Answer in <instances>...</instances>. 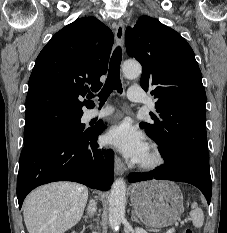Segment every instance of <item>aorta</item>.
<instances>
[{
	"label": "aorta",
	"mask_w": 227,
	"mask_h": 233,
	"mask_svg": "<svg viewBox=\"0 0 227 233\" xmlns=\"http://www.w3.org/2000/svg\"><path fill=\"white\" fill-rule=\"evenodd\" d=\"M123 75L128 79L138 78L142 73L141 65L136 61H126L122 65ZM126 183L123 178L114 181L109 197V224L117 232L125 218Z\"/></svg>",
	"instance_id": "aorta-1"
}]
</instances>
